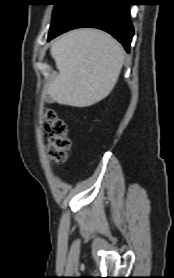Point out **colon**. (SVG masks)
I'll return each instance as SVG.
<instances>
[{
	"mask_svg": "<svg viewBox=\"0 0 174 278\" xmlns=\"http://www.w3.org/2000/svg\"><path fill=\"white\" fill-rule=\"evenodd\" d=\"M43 120L49 136L48 154L55 162L63 163L70 147V142L67 138V126L52 109L44 111Z\"/></svg>",
	"mask_w": 174,
	"mask_h": 278,
	"instance_id": "1",
	"label": "colon"
}]
</instances>
